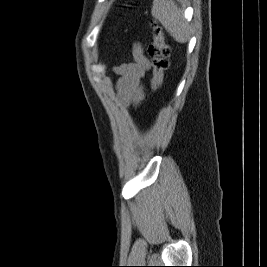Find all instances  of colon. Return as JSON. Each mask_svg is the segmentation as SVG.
Returning <instances> with one entry per match:
<instances>
[{
    "instance_id": "colon-1",
    "label": "colon",
    "mask_w": 267,
    "mask_h": 267,
    "mask_svg": "<svg viewBox=\"0 0 267 267\" xmlns=\"http://www.w3.org/2000/svg\"><path fill=\"white\" fill-rule=\"evenodd\" d=\"M152 27L153 37L148 47V53L153 67L152 87L158 91L164 83L165 72L169 67L171 48L166 42L162 28L156 22L152 23Z\"/></svg>"
}]
</instances>
